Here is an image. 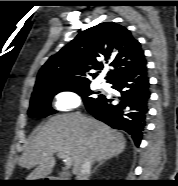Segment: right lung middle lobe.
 I'll return each mask as SVG.
<instances>
[{
  "label": "right lung middle lobe",
  "instance_id": "right-lung-middle-lobe-1",
  "mask_svg": "<svg viewBox=\"0 0 178 186\" xmlns=\"http://www.w3.org/2000/svg\"><path fill=\"white\" fill-rule=\"evenodd\" d=\"M62 90H70L76 92L83 98L85 105H89L90 103L98 99L92 97L93 91L90 90L89 85L77 86L66 89H44L32 95L28 115L30 117H46L48 115L56 113V111L53 110L51 107V100L54 95H56Z\"/></svg>",
  "mask_w": 178,
  "mask_h": 186
}]
</instances>
